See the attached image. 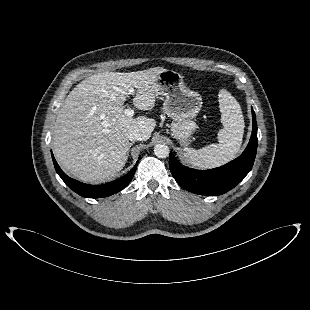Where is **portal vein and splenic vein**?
<instances>
[{
    "label": "portal vein and splenic vein",
    "mask_w": 310,
    "mask_h": 310,
    "mask_svg": "<svg viewBox=\"0 0 310 310\" xmlns=\"http://www.w3.org/2000/svg\"><path fill=\"white\" fill-rule=\"evenodd\" d=\"M133 92H134V89L131 88V89L129 90L128 94H132ZM124 114H125L126 116L131 117V116L134 115V110L131 109V108L125 109V110H124Z\"/></svg>",
    "instance_id": "portal-vein-and-splenic-vein-1"
}]
</instances>
